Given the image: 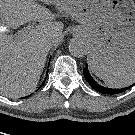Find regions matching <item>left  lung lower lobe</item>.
Here are the masks:
<instances>
[{
    "instance_id": "1",
    "label": "left lung lower lobe",
    "mask_w": 135,
    "mask_h": 135,
    "mask_svg": "<svg viewBox=\"0 0 135 135\" xmlns=\"http://www.w3.org/2000/svg\"><path fill=\"white\" fill-rule=\"evenodd\" d=\"M84 72V77L85 79L87 80V82L91 85V87L100 92V93H103V94H110V95H113V94H118V93H122L126 90H128L129 88H131L133 85L129 86V87H126V88H121V89H112V88H106V87H103L101 85H99L93 78L92 76L90 75L89 73V70H88V67L86 65L85 69L83 70Z\"/></svg>"
}]
</instances>
